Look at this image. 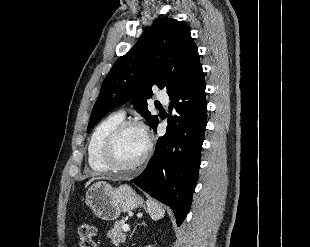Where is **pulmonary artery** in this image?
Masks as SVG:
<instances>
[{
	"instance_id": "1",
	"label": "pulmonary artery",
	"mask_w": 310,
	"mask_h": 247,
	"mask_svg": "<svg viewBox=\"0 0 310 247\" xmlns=\"http://www.w3.org/2000/svg\"><path fill=\"white\" fill-rule=\"evenodd\" d=\"M157 99H158L161 103H163V104H165V105H167V104L169 103V97H168V95H167L166 93H158V94H157ZM122 114H123V112H122Z\"/></svg>"
}]
</instances>
